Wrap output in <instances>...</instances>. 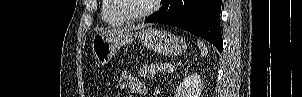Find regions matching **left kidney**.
Here are the masks:
<instances>
[{
	"instance_id": "obj_1",
	"label": "left kidney",
	"mask_w": 302,
	"mask_h": 97,
	"mask_svg": "<svg viewBox=\"0 0 302 97\" xmlns=\"http://www.w3.org/2000/svg\"><path fill=\"white\" fill-rule=\"evenodd\" d=\"M202 80L197 74L188 75L177 87L175 97H200Z\"/></svg>"
}]
</instances>
